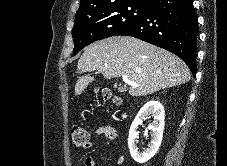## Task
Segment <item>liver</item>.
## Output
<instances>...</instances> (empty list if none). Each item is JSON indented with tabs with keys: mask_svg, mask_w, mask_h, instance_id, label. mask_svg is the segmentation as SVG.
Segmentation results:
<instances>
[{
	"mask_svg": "<svg viewBox=\"0 0 227 166\" xmlns=\"http://www.w3.org/2000/svg\"><path fill=\"white\" fill-rule=\"evenodd\" d=\"M77 69L80 74L97 71L106 79L127 76L138 84L129 88V94L135 97L191 79L190 70L182 59L129 36H113L90 44L78 60ZM94 80L89 74L80 76L75 84V95H80Z\"/></svg>",
	"mask_w": 227,
	"mask_h": 166,
	"instance_id": "liver-1",
	"label": "liver"
}]
</instances>
